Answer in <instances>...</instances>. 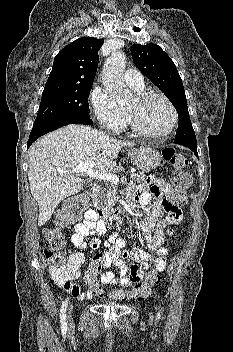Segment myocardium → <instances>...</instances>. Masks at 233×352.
Instances as JSON below:
<instances>
[{"label":"myocardium","mask_w":233,"mask_h":352,"mask_svg":"<svg viewBox=\"0 0 233 352\" xmlns=\"http://www.w3.org/2000/svg\"><path fill=\"white\" fill-rule=\"evenodd\" d=\"M154 98H159L163 100L169 107L171 113H172V122L170 127L163 133H151L146 130H144L137 122L136 118L128 112V121L130 123L132 131L137 134L140 137L146 138V139H153V140H158V139H163L169 136L176 128L178 124V112L174 106V104L171 102V100L165 96L162 93L158 92H146V93H140L137 97V100L139 103L144 104Z\"/></svg>","instance_id":"1"}]
</instances>
